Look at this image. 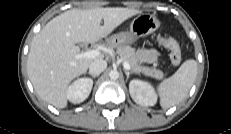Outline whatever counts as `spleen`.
<instances>
[{"label": "spleen", "instance_id": "3e777b00", "mask_svg": "<svg viewBox=\"0 0 231 134\" xmlns=\"http://www.w3.org/2000/svg\"><path fill=\"white\" fill-rule=\"evenodd\" d=\"M197 76V62L186 60L175 74L158 85L160 104L168 109L182 102L188 95Z\"/></svg>", "mask_w": 231, "mask_h": 134}]
</instances>
